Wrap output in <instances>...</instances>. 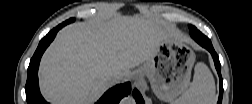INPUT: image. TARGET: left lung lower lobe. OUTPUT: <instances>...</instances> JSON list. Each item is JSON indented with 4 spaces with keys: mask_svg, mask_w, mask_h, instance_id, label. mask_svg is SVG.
Instances as JSON below:
<instances>
[{
    "mask_svg": "<svg viewBox=\"0 0 252 104\" xmlns=\"http://www.w3.org/2000/svg\"><path fill=\"white\" fill-rule=\"evenodd\" d=\"M190 35L198 44H200L202 47L206 48L211 53V55L213 57L215 67L218 72L219 80H220V93H219L218 104H221L222 96H223V80H222V76H221V64L219 61V57H218L217 53L215 52L209 38H207L199 30H197V29L193 30V32H191ZM133 97L135 98L137 104H144V100L137 89H134Z\"/></svg>",
    "mask_w": 252,
    "mask_h": 104,
    "instance_id": "left-lung-lower-lobe-1",
    "label": "left lung lower lobe"
}]
</instances>
